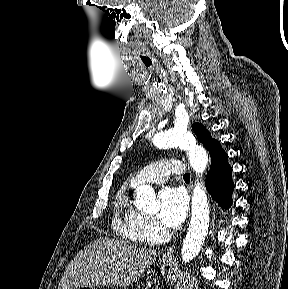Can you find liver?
Listing matches in <instances>:
<instances>
[{"label":"liver","instance_id":"1","mask_svg":"<svg viewBox=\"0 0 288 289\" xmlns=\"http://www.w3.org/2000/svg\"><path fill=\"white\" fill-rule=\"evenodd\" d=\"M156 257V250L99 238L85 246L68 264L58 289L124 287L136 282Z\"/></svg>","mask_w":288,"mask_h":289}]
</instances>
